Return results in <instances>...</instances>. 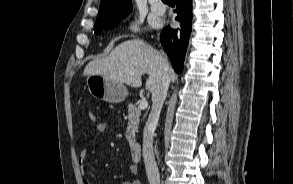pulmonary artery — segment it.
<instances>
[{
	"label": "pulmonary artery",
	"instance_id": "1",
	"mask_svg": "<svg viewBox=\"0 0 293 184\" xmlns=\"http://www.w3.org/2000/svg\"><path fill=\"white\" fill-rule=\"evenodd\" d=\"M151 10L157 15H162L166 11V7L159 0L151 1Z\"/></svg>",
	"mask_w": 293,
	"mask_h": 184
}]
</instances>
